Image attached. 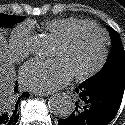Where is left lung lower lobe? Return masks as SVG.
Wrapping results in <instances>:
<instances>
[{"instance_id": "obj_1", "label": "left lung lower lobe", "mask_w": 125, "mask_h": 125, "mask_svg": "<svg viewBox=\"0 0 125 125\" xmlns=\"http://www.w3.org/2000/svg\"><path fill=\"white\" fill-rule=\"evenodd\" d=\"M125 77L88 85L81 83L75 89L76 108L72 114L58 121L59 125H107L121 105Z\"/></svg>"}]
</instances>
